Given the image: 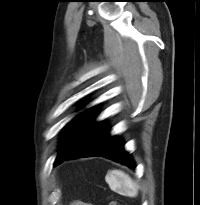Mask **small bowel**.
<instances>
[{
    "instance_id": "obj_1",
    "label": "small bowel",
    "mask_w": 200,
    "mask_h": 205,
    "mask_svg": "<svg viewBox=\"0 0 200 205\" xmlns=\"http://www.w3.org/2000/svg\"><path fill=\"white\" fill-rule=\"evenodd\" d=\"M83 205H92V204H87V203H85V204H83Z\"/></svg>"
}]
</instances>
